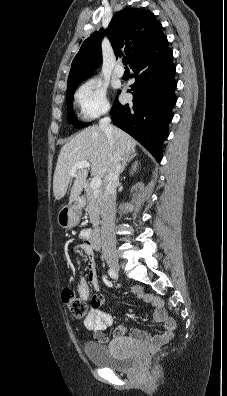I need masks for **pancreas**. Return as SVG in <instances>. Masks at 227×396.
I'll return each mask as SVG.
<instances>
[{"instance_id": "1", "label": "pancreas", "mask_w": 227, "mask_h": 396, "mask_svg": "<svg viewBox=\"0 0 227 396\" xmlns=\"http://www.w3.org/2000/svg\"><path fill=\"white\" fill-rule=\"evenodd\" d=\"M87 206L86 212L89 214L90 222L93 226H98L100 223V214L102 209L101 193L88 188L86 191Z\"/></svg>"}]
</instances>
